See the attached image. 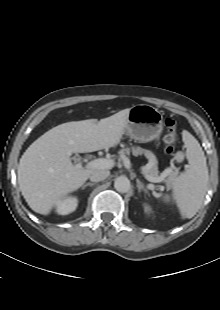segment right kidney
<instances>
[{
	"mask_svg": "<svg viewBox=\"0 0 220 310\" xmlns=\"http://www.w3.org/2000/svg\"><path fill=\"white\" fill-rule=\"evenodd\" d=\"M78 199L76 197H66L56 204V212L60 215H67L77 208Z\"/></svg>",
	"mask_w": 220,
	"mask_h": 310,
	"instance_id": "1",
	"label": "right kidney"
}]
</instances>
